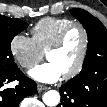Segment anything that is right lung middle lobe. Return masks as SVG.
Returning a JSON list of instances; mask_svg holds the SVG:
<instances>
[{
  "instance_id": "right-lung-middle-lobe-1",
  "label": "right lung middle lobe",
  "mask_w": 107,
  "mask_h": 107,
  "mask_svg": "<svg viewBox=\"0 0 107 107\" xmlns=\"http://www.w3.org/2000/svg\"><path fill=\"white\" fill-rule=\"evenodd\" d=\"M28 24L20 19H12L0 15V73L11 71L17 67L11 52V41Z\"/></svg>"
}]
</instances>
